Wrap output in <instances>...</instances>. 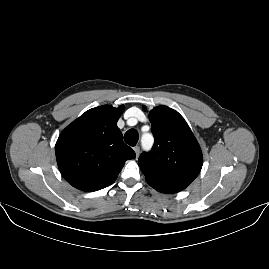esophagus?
I'll return each mask as SVG.
<instances>
[{
    "mask_svg": "<svg viewBox=\"0 0 269 269\" xmlns=\"http://www.w3.org/2000/svg\"><path fill=\"white\" fill-rule=\"evenodd\" d=\"M133 149H134V151L136 153V160H137L138 157H139V154H140V147L139 146H135Z\"/></svg>",
    "mask_w": 269,
    "mask_h": 269,
    "instance_id": "1",
    "label": "esophagus"
}]
</instances>
